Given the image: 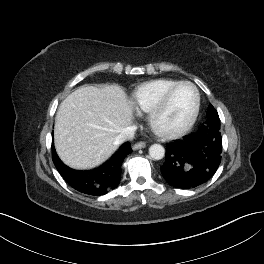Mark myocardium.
<instances>
[{"label": "myocardium", "instance_id": "1", "mask_svg": "<svg viewBox=\"0 0 264 264\" xmlns=\"http://www.w3.org/2000/svg\"><path fill=\"white\" fill-rule=\"evenodd\" d=\"M182 85H188L193 88L194 93H195V103L193 110L187 119V121L181 125L178 128L175 129H164L161 128L158 123L157 119L158 116L163 112V110L166 108L171 95L173 92L180 86ZM200 106H201V94L198 89V87L191 81L188 80H183V81H178L174 83L172 86H170L162 95L160 100L153 106V108L149 111L148 114V125L150 129L159 137L164 138V139H175L178 138L184 134H186L195 124L199 112H200Z\"/></svg>", "mask_w": 264, "mask_h": 264}]
</instances>
